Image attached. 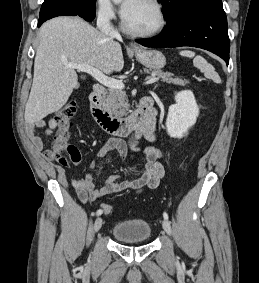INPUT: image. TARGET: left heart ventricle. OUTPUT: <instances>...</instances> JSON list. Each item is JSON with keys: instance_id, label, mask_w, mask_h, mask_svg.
I'll return each mask as SVG.
<instances>
[{"instance_id": "1", "label": "left heart ventricle", "mask_w": 259, "mask_h": 283, "mask_svg": "<svg viewBox=\"0 0 259 283\" xmlns=\"http://www.w3.org/2000/svg\"><path fill=\"white\" fill-rule=\"evenodd\" d=\"M124 18L127 25L136 31H149L159 24V15L156 9L146 0H136Z\"/></svg>"}]
</instances>
